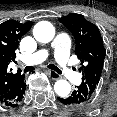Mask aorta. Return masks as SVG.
<instances>
[{"mask_svg":"<svg viewBox=\"0 0 117 117\" xmlns=\"http://www.w3.org/2000/svg\"><path fill=\"white\" fill-rule=\"evenodd\" d=\"M34 38L41 43H49L55 36V28L48 21H41L34 26ZM54 91L59 97H67L71 92V85L66 80H58L54 84Z\"/></svg>","mask_w":117,"mask_h":117,"instance_id":"1","label":"aorta"}]
</instances>
